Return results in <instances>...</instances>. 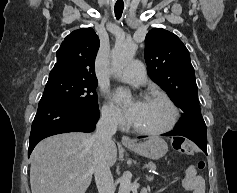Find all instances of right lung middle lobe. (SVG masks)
Listing matches in <instances>:
<instances>
[{
	"label": "right lung middle lobe",
	"mask_w": 237,
	"mask_h": 193,
	"mask_svg": "<svg viewBox=\"0 0 237 193\" xmlns=\"http://www.w3.org/2000/svg\"><path fill=\"white\" fill-rule=\"evenodd\" d=\"M97 80L50 74L40 101L58 102L81 110H98Z\"/></svg>",
	"instance_id": "obj_1"
}]
</instances>
